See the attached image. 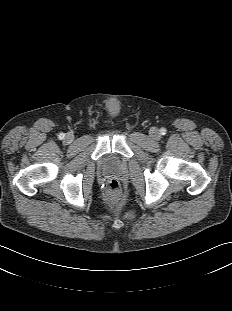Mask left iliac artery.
<instances>
[{"mask_svg":"<svg viewBox=\"0 0 232 311\" xmlns=\"http://www.w3.org/2000/svg\"><path fill=\"white\" fill-rule=\"evenodd\" d=\"M160 133H161L162 135H165V134H166V129H165V128H161Z\"/></svg>","mask_w":232,"mask_h":311,"instance_id":"44dca946","label":"left iliac artery"}]
</instances>
